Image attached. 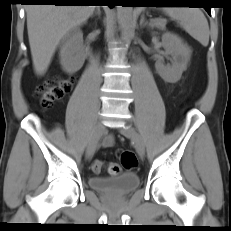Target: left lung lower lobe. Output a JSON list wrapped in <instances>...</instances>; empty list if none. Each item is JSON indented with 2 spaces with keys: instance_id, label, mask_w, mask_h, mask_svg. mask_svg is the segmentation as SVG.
I'll return each mask as SVG.
<instances>
[{
  "instance_id": "0a47b994",
  "label": "left lung lower lobe",
  "mask_w": 231,
  "mask_h": 231,
  "mask_svg": "<svg viewBox=\"0 0 231 231\" xmlns=\"http://www.w3.org/2000/svg\"><path fill=\"white\" fill-rule=\"evenodd\" d=\"M156 3L154 0H137V5L135 6H143L145 4H152ZM209 15H211V8L210 7H204Z\"/></svg>"
}]
</instances>
